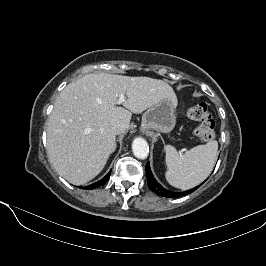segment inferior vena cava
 <instances>
[{
  "mask_svg": "<svg viewBox=\"0 0 266 266\" xmlns=\"http://www.w3.org/2000/svg\"><path fill=\"white\" fill-rule=\"evenodd\" d=\"M110 129L115 135H118L125 131L126 125L122 120H115L111 123Z\"/></svg>",
  "mask_w": 266,
  "mask_h": 266,
  "instance_id": "obj_1",
  "label": "inferior vena cava"
}]
</instances>
